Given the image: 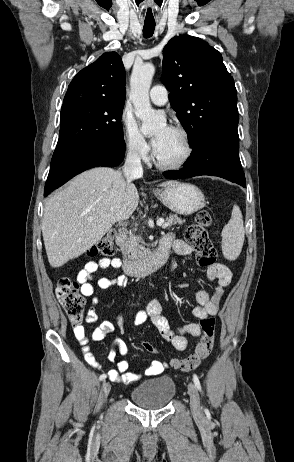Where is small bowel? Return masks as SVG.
<instances>
[{"label": "small bowel", "mask_w": 294, "mask_h": 462, "mask_svg": "<svg viewBox=\"0 0 294 462\" xmlns=\"http://www.w3.org/2000/svg\"><path fill=\"white\" fill-rule=\"evenodd\" d=\"M163 242L169 244L170 248L181 256L192 253V248L183 240L174 239L173 235H167L162 239ZM122 262L119 258H102L99 261H89L77 275V281L80 284V292L85 297H92L91 306L87 311L86 321L88 323L95 322L98 318L95 306L98 303V298L95 295L96 287L107 289L112 285L124 287L127 284V277L119 275L114 279L99 278L93 283V276L99 269L120 268ZM172 268H175V264ZM207 280L215 281L216 285L212 292L206 290H197L193 294V301L196 306L193 308V315L199 319L209 316H214L219 310L220 303L225 294V290L231 282L232 274L230 269L221 263H214L209 266L206 273ZM164 308L161 300L154 299L147 304L145 309L140 310L134 317V324L141 325L147 319H150L156 327L160 335L169 342L176 350L183 351L188 346L189 336H199L201 327L197 323H187L176 328H172L168 319L163 314ZM114 326L109 321L102 322L92 333V340L101 341L106 335L111 333ZM74 335L77 341L82 346V353L86 362L95 367L100 368L95 356L91 352L89 346V338L86 335L85 328L80 325L74 328ZM116 349L122 356H127L129 349L122 339H116L111 346L108 354L109 361L113 362L116 356ZM168 367L166 362L153 361L145 370V375L155 376L161 374ZM129 363L126 359L120 360L115 369L110 370L108 374L109 380L117 383L129 384L137 381L140 378L139 374L128 371Z\"/></svg>", "instance_id": "1"}]
</instances>
